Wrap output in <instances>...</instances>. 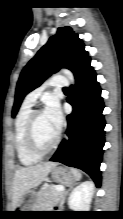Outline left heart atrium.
<instances>
[{
  "label": "left heart atrium",
  "mask_w": 123,
  "mask_h": 219,
  "mask_svg": "<svg viewBox=\"0 0 123 219\" xmlns=\"http://www.w3.org/2000/svg\"><path fill=\"white\" fill-rule=\"evenodd\" d=\"M45 115L50 120V122L53 124V126L60 131L62 125H63V115L60 108V105L56 99H50L48 100L45 110Z\"/></svg>",
  "instance_id": "1"
}]
</instances>
